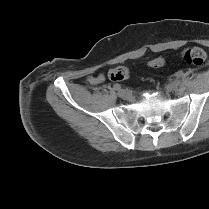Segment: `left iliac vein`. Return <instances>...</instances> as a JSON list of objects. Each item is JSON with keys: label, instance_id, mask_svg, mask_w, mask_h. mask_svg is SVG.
<instances>
[{"label": "left iliac vein", "instance_id": "1", "mask_svg": "<svg viewBox=\"0 0 209 209\" xmlns=\"http://www.w3.org/2000/svg\"><path fill=\"white\" fill-rule=\"evenodd\" d=\"M179 86H180V82L179 81H175V82L170 84V88L172 90H177L179 88Z\"/></svg>", "mask_w": 209, "mask_h": 209}]
</instances>
